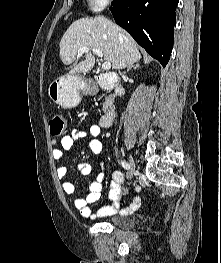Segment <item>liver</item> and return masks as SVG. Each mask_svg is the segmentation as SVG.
<instances>
[{
  "instance_id": "liver-1",
  "label": "liver",
  "mask_w": 221,
  "mask_h": 263,
  "mask_svg": "<svg viewBox=\"0 0 221 263\" xmlns=\"http://www.w3.org/2000/svg\"><path fill=\"white\" fill-rule=\"evenodd\" d=\"M59 47L60 58L65 65L76 60L78 50L82 47L100 49L106 62H110L115 70L132 66L141 59L134 39L105 17L81 18L74 21L64 33ZM94 64L95 56L90 50L71 73L88 72Z\"/></svg>"
}]
</instances>
